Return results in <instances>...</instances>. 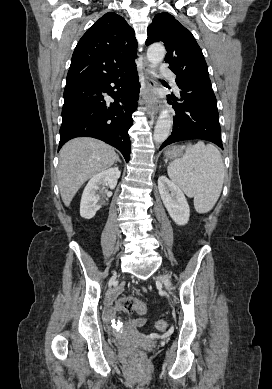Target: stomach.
Listing matches in <instances>:
<instances>
[{
  "mask_svg": "<svg viewBox=\"0 0 272 389\" xmlns=\"http://www.w3.org/2000/svg\"><path fill=\"white\" fill-rule=\"evenodd\" d=\"M183 155V148L179 146H172L168 148L165 152V157L167 159H177Z\"/></svg>",
  "mask_w": 272,
  "mask_h": 389,
  "instance_id": "0dacf381",
  "label": "stomach"
}]
</instances>
